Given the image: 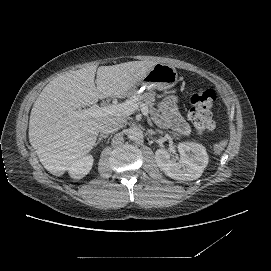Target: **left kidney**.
<instances>
[{"label": "left kidney", "mask_w": 271, "mask_h": 271, "mask_svg": "<svg viewBox=\"0 0 271 271\" xmlns=\"http://www.w3.org/2000/svg\"><path fill=\"white\" fill-rule=\"evenodd\" d=\"M180 159H170L165 149L155 152V161L164 173L176 180L191 181L198 179L208 164L206 148L198 143L183 142L178 144Z\"/></svg>", "instance_id": "obj_1"}]
</instances>
